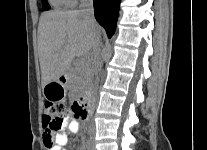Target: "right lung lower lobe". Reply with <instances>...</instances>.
<instances>
[{
    "instance_id": "1",
    "label": "right lung lower lobe",
    "mask_w": 207,
    "mask_h": 150,
    "mask_svg": "<svg viewBox=\"0 0 207 150\" xmlns=\"http://www.w3.org/2000/svg\"><path fill=\"white\" fill-rule=\"evenodd\" d=\"M95 18L110 38L115 31L120 0H93Z\"/></svg>"
}]
</instances>
